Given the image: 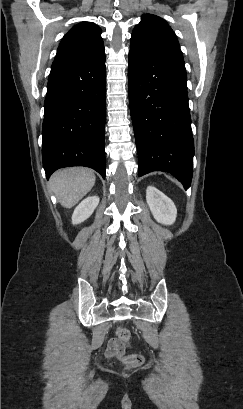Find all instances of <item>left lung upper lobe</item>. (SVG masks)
Returning a JSON list of instances; mask_svg holds the SVG:
<instances>
[{"label":"left lung upper lobe","mask_w":243,"mask_h":409,"mask_svg":"<svg viewBox=\"0 0 243 409\" xmlns=\"http://www.w3.org/2000/svg\"><path fill=\"white\" fill-rule=\"evenodd\" d=\"M166 48L180 49L174 31L164 19L144 14L132 32L130 51L136 54H150Z\"/></svg>","instance_id":"5c2ea615"}]
</instances>
